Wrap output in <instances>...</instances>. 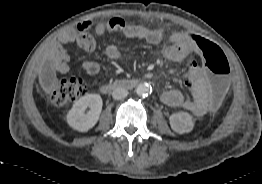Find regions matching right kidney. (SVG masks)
<instances>
[{
  "mask_svg": "<svg viewBox=\"0 0 262 184\" xmlns=\"http://www.w3.org/2000/svg\"><path fill=\"white\" fill-rule=\"evenodd\" d=\"M103 101L98 94H87L77 100L67 114L68 124L75 130L86 132L97 123ZM89 111L85 113L86 109Z\"/></svg>",
  "mask_w": 262,
  "mask_h": 184,
  "instance_id": "1",
  "label": "right kidney"
}]
</instances>
